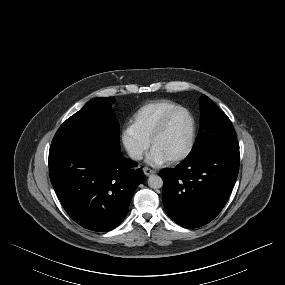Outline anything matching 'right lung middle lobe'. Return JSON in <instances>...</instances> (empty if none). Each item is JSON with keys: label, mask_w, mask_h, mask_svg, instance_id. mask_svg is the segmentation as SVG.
Instances as JSON below:
<instances>
[{"label": "right lung middle lobe", "mask_w": 285, "mask_h": 285, "mask_svg": "<svg viewBox=\"0 0 285 285\" xmlns=\"http://www.w3.org/2000/svg\"><path fill=\"white\" fill-rule=\"evenodd\" d=\"M114 98H94L68 118L56 132L51 149L69 145H89L120 152L119 125L111 105Z\"/></svg>", "instance_id": "right-lung-middle-lobe-1"}]
</instances>
